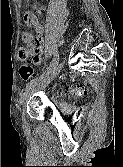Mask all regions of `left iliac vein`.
Instances as JSON below:
<instances>
[{"label":"left iliac vein","instance_id":"obj_1","mask_svg":"<svg viewBox=\"0 0 123 167\" xmlns=\"http://www.w3.org/2000/svg\"><path fill=\"white\" fill-rule=\"evenodd\" d=\"M64 62H60L56 65L51 72L44 76L40 81H38L33 87L27 89L21 96L19 100V105H22L33 93L36 91L45 88L62 70Z\"/></svg>","mask_w":123,"mask_h":167}]
</instances>
